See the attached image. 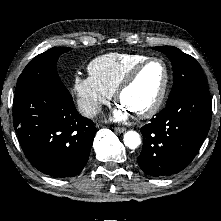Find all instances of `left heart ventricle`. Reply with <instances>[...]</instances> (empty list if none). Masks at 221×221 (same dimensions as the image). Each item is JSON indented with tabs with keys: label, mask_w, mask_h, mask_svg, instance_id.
Returning <instances> with one entry per match:
<instances>
[{
	"label": "left heart ventricle",
	"mask_w": 221,
	"mask_h": 221,
	"mask_svg": "<svg viewBox=\"0 0 221 221\" xmlns=\"http://www.w3.org/2000/svg\"><path fill=\"white\" fill-rule=\"evenodd\" d=\"M164 81V68L158 62L147 65L134 83L122 94L120 105L131 114L150 107L157 98Z\"/></svg>",
	"instance_id": "obj_1"
}]
</instances>
